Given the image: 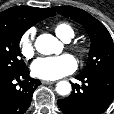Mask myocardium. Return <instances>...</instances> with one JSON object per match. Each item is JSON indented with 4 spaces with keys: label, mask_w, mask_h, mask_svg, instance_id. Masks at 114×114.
<instances>
[{
    "label": "myocardium",
    "mask_w": 114,
    "mask_h": 114,
    "mask_svg": "<svg viewBox=\"0 0 114 114\" xmlns=\"http://www.w3.org/2000/svg\"><path fill=\"white\" fill-rule=\"evenodd\" d=\"M76 51L79 55L82 56V55L86 54L87 49L84 45L79 44V45L76 46Z\"/></svg>",
    "instance_id": "obj_1"
}]
</instances>
